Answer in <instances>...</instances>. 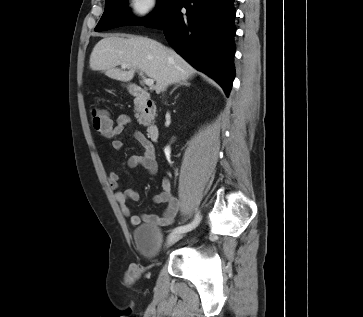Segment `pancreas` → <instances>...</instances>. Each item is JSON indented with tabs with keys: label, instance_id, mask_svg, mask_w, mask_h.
Returning a JSON list of instances; mask_svg holds the SVG:
<instances>
[{
	"label": "pancreas",
	"instance_id": "pancreas-1",
	"mask_svg": "<svg viewBox=\"0 0 363 317\" xmlns=\"http://www.w3.org/2000/svg\"><path fill=\"white\" fill-rule=\"evenodd\" d=\"M136 114L135 117L138 118V122L143 125H147L148 117L143 112L142 108L139 105L135 106Z\"/></svg>",
	"mask_w": 363,
	"mask_h": 317
}]
</instances>
